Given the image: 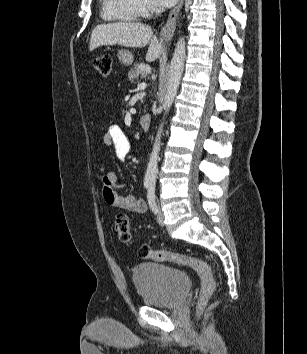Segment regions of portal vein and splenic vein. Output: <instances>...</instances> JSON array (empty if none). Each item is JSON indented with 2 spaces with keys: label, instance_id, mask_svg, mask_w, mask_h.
Segmentation results:
<instances>
[{
  "label": "portal vein and splenic vein",
  "instance_id": "18ae733b",
  "mask_svg": "<svg viewBox=\"0 0 307 354\" xmlns=\"http://www.w3.org/2000/svg\"><path fill=\"white\" fill-rule=\"evenodd\" d=\"M145 88H146V84L144 82L139 83L138 86H137L138 90H144Z\"/></svg>",
  "mask_w": 307,
  "mask_h": 354
}]
</instances>
